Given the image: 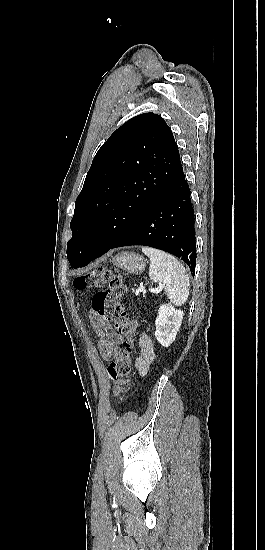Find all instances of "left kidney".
<instances>
[{
	"instance_id": "left-kidney-1",
	"label": "left kidney",
	"mask_w": 265,
	"mask_h": 550,
	"mask_svg": "<svg viewBox=\"0 0 265 550\" xmlns=\"http://www.w3.org/2000/svg\"><path fill=\"white\" fill-rule=\"evenodd\" d=\"M183 315V311L176 310L171 303L160 306L155 321V336L162 346L168 347L175 341Z\"/></svg>"
}]
</instances>
